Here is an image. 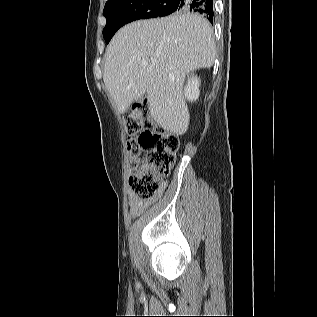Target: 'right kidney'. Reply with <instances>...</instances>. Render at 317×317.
<instances>
[{
	"label": "right kidney",
	"instance_id": "1",
	"mask_svg": "<svg viewBox=\"0 0 317 317\" xmlns=\"http://www.w3.org/2000/svg\"><path fill=\"white\" fill-rule=\"evenodd\" d=\"M199 86H200V79L197 76H192L188 79V83L184 89L185 91V97L189 100V101H193L196 100L199 95H200V90H199Z\"/></svg>",
	"mask_w": 317,
	"mask_h": 317
}]
</instances>
